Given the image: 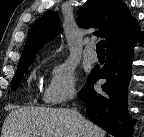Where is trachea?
<instances>
[{
	"label": "trachea",
	"instance_id": "3493384b",
	"mask_svg": "<svg viewBox=\"0 0 144 137\" xmlns=\"http://www.w3.org/2000/svg\"><path fill=\"white\" fill-rule=\"evenodd\" d=\"M97 54H105V41L101 40L96 45Z\"/></svg>",
	"mask_w": 144,
	"mask_h": 137
}]
</instances>
